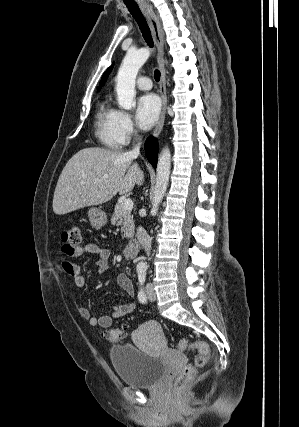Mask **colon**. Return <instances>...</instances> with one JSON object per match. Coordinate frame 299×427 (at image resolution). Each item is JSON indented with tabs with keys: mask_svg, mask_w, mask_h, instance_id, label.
Returning <instances> with one entry per match:
<instances>
[{
	"mask_svg": "<svg viewBox=\"0 0 299 427\" xmlns=\"http://www.w3.org/2000/svg\"><path fill=\"white\" fill-rule=\"evenodd\" d=\"M62 240L70 245H78L81 241V229L79 226H72L62 233ZM101 336L114 342H122L127 334L123 329H110L101 331ZM180 351L196 350L194 365H184L177 374L174 381V388L178 392H184L195 376L196 369L207 365L210 359V347L204 342H190L182 339L178 343Z\"/></svg>",
	"mask_w": 299,
	"mask_h": 427,
	"instance_id": "5ec220e1",
	"label": "colon"
}]
</instances>
